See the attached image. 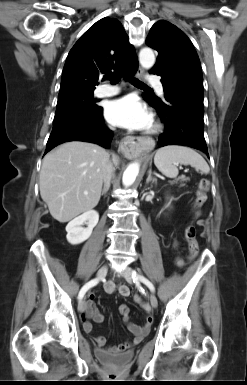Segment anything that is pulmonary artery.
Instances as JSON below:
<instances>
[{"instance_id": "pulmonary-artery-1", "label": "pulmonary artery", "mask_w": 247, "mask_h": 385, "mask_svg": "<svg viewBox=\"0 0 247 385\" xmlns=\"http://www.w3.org/2000/svg\"><path fill=\"white\" fill-rule=\"evenodd\" d=\"M150 82H152L154 84L156 90L158 91V93L160 95L164 94L163 87H162V84H161L159 78L151 77ZM118 91H119L118 87L113 86V85H109V84H104V85L99 86L96 89L95 94L98 97H108V96H112V95L117 94Z\"/></svg>"}]
</instances>
